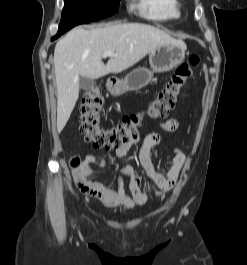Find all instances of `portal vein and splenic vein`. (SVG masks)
I'll return each mask as SVG.
<instances>
[{
  "label": "portal vein and splenic vein",
  "mask_w": 247,
  "mask_h": 265,
  "mask_svg": "<svg viewBox=\"0 0 247 265\" xmlns=\"http://www.w3.org/2000/svg\"><path fill=\"white\" fill-rule=\"evenodd\" d=\"M113 55H114V53L112 51H110V50L105 51L104 54H103V56H113Z\"/></svg>",
  "instance_id": "1"
}]
</instances>
